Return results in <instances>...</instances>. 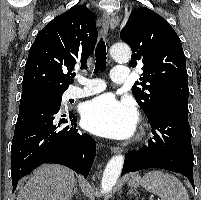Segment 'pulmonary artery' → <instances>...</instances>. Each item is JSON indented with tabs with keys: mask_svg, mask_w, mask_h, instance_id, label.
<instances>
[{
	"mask_svg": "<svg viewBox=\"0 0 201 200\" xmlns=\"http://www.w3.org/2000/svg\"><path fill=\"white\" fill-rule=\"evenodd\" d=\"M129 74V69L126 66H116L111 74V79L115 83H124ZM79 81L83 84V87H72L70 88L66 96L67 98H83L96 93H99L105 89V85L101 80L88 79L81 77Z\"/></svg>",
	"mask_w": 201,
	"mask_h": 200,
	"instance_id": "e3ab8cb5",
	"label": "pulmonary artery"
}]
</instances>
